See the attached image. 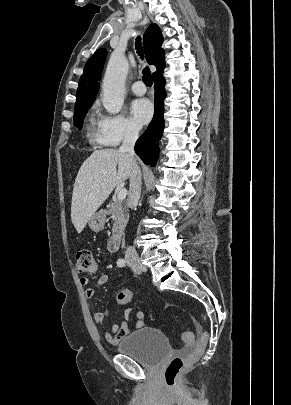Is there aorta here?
Returning a JSON list of instances; mask_svg holds the SVG:
<instances>
[{"instance_id":"obj_1","label":"aorta","mask_w":291,"mask_h":405,"mask_svg":"<svg viewBox=\"0 0 291 405\" xmlns=\"http://www.w3.org/2000/svg\"><path fill=\"white\" fill-rule=\"evenodd\" d=\"M128 68V61L123 55L112 54L102 83V103L111 114H117L122 109Z\"/></svg>"}]
</instances>
